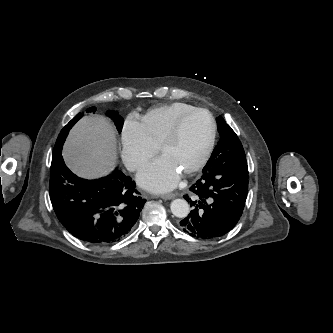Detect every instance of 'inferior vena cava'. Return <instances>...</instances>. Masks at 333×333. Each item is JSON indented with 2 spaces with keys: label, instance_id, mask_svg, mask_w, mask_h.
<instances>
[{
  "label": "inferior vena cava",
  "instance_id": "1",
  "mask_svg": "<svg viewBox=\"0 0 333 333\" xmlns=\"http://www.w3.org/2000/svg\"><path fill=\"white\" fill-rule=\"evenodd\" d=\"M135 168H136L135 165H130V166H129V170H130V171H134Z\"/></svg>",
  "mask_w": 333,
  "mask_h": 333
}]
</instances>
